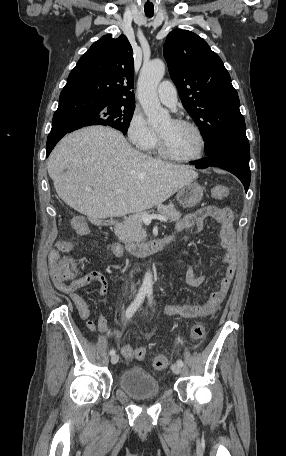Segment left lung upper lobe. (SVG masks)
<instances>
[{
	"label": "left lung upper lobe",
	"mask_w": 286,
	"mask_h": 456,
	"mask_svg": "<svg viewBox=\"0 0 286 456\" xmlns=\"http://www.w3.org/2000/svg\"><path fill=\"white\" fill-rule=\"evenodd\" d=\"M163 54L182 104L206 141L205 151L227 140L248 141L237 91L205 40L188 30H173Z\"/></svg>",
	"instance_id": "1"
}]
</instances>
